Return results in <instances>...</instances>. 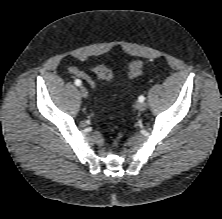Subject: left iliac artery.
Here are the masks:
<instances>
[{
	"label": "left iliac artery",
	"mask_w": 222,
	"mask_h": 219,
	"mask_svg": "<svg viewBox=\"0 0 222 219\" xmlns=\"http://www.w3.org/2000/svg\"><path fill=\"white\" fill-rule=\"evenodd\" d=\"M145 100V97L144 96H139V101H144Z\"/></svg>",
	"instance_id": "1"
}]
</instances>
